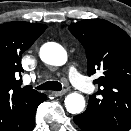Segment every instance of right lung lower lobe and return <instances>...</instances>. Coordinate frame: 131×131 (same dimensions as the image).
<instances>
[{"instance_id":"right-lung-lower-lobe-1","label":"right lung lower lobe","mask_w":131,"mask_h":131,"mask_svg":"<svg viewBox=\"0 0 131 131\" xmlns=\"http://www.w3.org/2000/svg\"><path fill=\"white\" fill-rule=\"evenodd\" d=\"M46 96L29 103L19 104L11 109L0 108V131H32L35 125V113Z\"/></svg>"}]
</instances>
